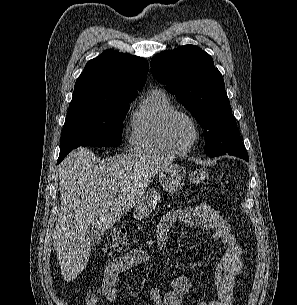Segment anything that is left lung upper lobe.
I'll return each mask as SVG.
<instances>
[{
  "instance_id": "1",
  "label": "left lung upper lobe",
  "mask_w": 297,
  "mask_h": 305,
  "mask_svg": "<svg viewBox=\"0 0 297 305\" xmlns=\"http://www.w3.org/2000/svg\"><path fill=\"white\" fill-rule=\"evenodd\" d=\"M151 72L204 128L207 156L247 154L223 77L208 53L194 45L163 51L152 58Z\"/></svg>"
}]
</instances>
